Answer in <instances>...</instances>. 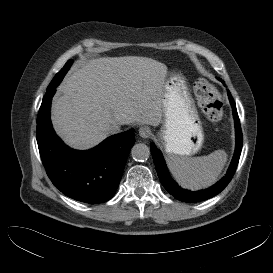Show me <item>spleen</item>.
Segmentation results:
<instances>
[{"mask_svg":"<svg viewBox=\"0 0 273 273\" xmlns=\"http://www.w3.org/2000/svg\"><path fill=\"white\" fill-rule=\"evenodd\" d=\"M166 160L171 175L182 187L197 190L217 180L227 161V154L224 150H216L207 156H168Z\"/></svg>","mask_w":273,"mask_h":273,"instance_id":"3e777b00","label":"spleen"}]
</instances>
